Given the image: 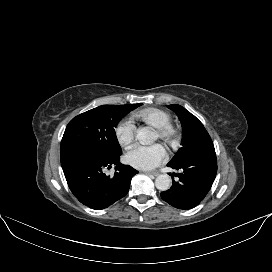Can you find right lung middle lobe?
Masks as SVG:
<instances>
[{"label":"right lung middle lobe","mask_w":272,"mask_h":272,"mask_svg":"<svg viewBox=\"0 0 272 272\" xmlns=\"http://www.w3.org/2000/svg\"><path fill=\"white\" fill-rule=\"evenodd\" d=\"M140 105H102L84 112L69 122L61 144L82 143L108 155L121 154L115 127L124 115Z\"/></svg>","instance_id":"right-lung-middle-lobe-1"}]
</instances>
